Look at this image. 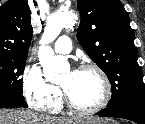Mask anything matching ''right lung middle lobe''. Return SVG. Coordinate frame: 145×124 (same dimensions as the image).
Here are the masks:
<instances>
[{
    "label": "right lung middle lobe",
    "mask_w": 145,
    "mask_h": 124,
    "mask_svg": "<svg viewBox=\"0 0 145 124\" xmlns=\"http://www.w3.org/2000/svg\"><path fill=\"white\" fill-rule=\"evenodd\" d=\"M26 57L0 56V94L23 93L22 78Z\"/></svg>",
    "instance_id": "right-lung-middle-lobe-1"
}]
</instances>
